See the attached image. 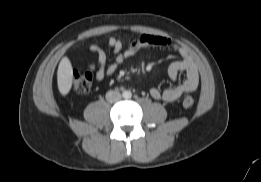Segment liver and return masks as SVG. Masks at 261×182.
Masks as SVG:
<instances>
[{
  "mask_svg": "<svg viewBox=\"0 0 261 182\" xmlns=\"http://www.w3.org/2000/svg\"><path fill=\"white\" fill-rule=\"evenodd\" d=\"M73 82V68L68 57H63L57 71V84L61 95L69 93Z\"/></svg>",
  "mask_w": 261,
  "mask_h": 182,
  "instance_id": "obj_1",
  "label": "liver"
}]
</instances>
